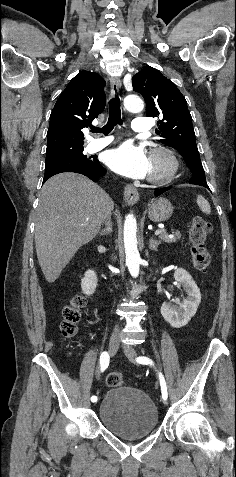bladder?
Instances as JSON below:
<instances>
[{"label": "bladder", "mask_w": 236, "mask_h": 477, "mask_svg": "<svg viewBox=\"0 0 236 477\" xmlns=\"http://www.w3.org/2000/svg\"><path fill=\"white\" fill-rule=\"evenodd\" d=\"M104 427L122 439H141L159 424L158 410L141 389L129 385L111 387L97 405Z\"/></svg>", "instance_id": "31cf9c89"}]
</instances>
